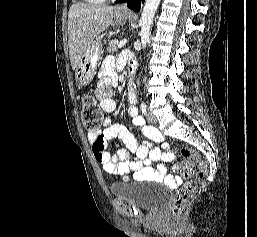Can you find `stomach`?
<instances>
[{"mask_svg": "<svg viewBox=\"0 0 257 237\" xmlns=\"http://www.w3.org/2000/svg\"><path fill=\"white\" fill-rule=\"evenodd\" d=\"M117 25L124 24L130 16L116 12L113 16ZM102 53L101 37L95 38L82 55L77 66L75 77L78 86L88 85L94 75Z\"/></svg>", "mask_w": 257, "mask_h": 237, "instance_id": "1", "label": "stomach"}]
</instances>
